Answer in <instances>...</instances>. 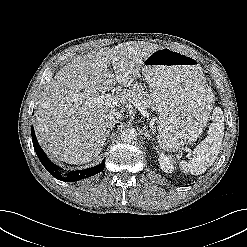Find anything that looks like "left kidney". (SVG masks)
Masks as SVG:
<instances>
[{"instance_id": "obj_1", "label": "left kidney", "mask_w": 247, "mask_h": 247, "mask_svg": "<svg viewBox=\"0 0 247 247\" xmlns=\"http://www.w3.org/2000/svg\"><path fill=\"white\" fill-rule=\"evenodd\" d=\"M159 164L160 168L166 173H172L174 171V163L172 156L165 155L164 153H160L159 155Z\"/></svg>"}]
</instances>
